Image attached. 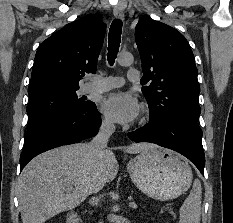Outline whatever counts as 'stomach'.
Masks as SVG:
<instances>
[{
  "instance_id": "stomach-1",
  "label": "stomach",
  "mask_w": 233,
  "mask_h": 223,
  "mask_svg": "<svg viewBox=\"0 0 233 223\" xmlns=\"http://www.w3.org/2000/svg\"><path fill=\"white\" fill-rule=\"evenodd\" d=\"M127 169L136 187L159 201L179 197L192 183V169L187 159L163 147L140 151L128 161Z\"/></svg>"
}]
</instances>
